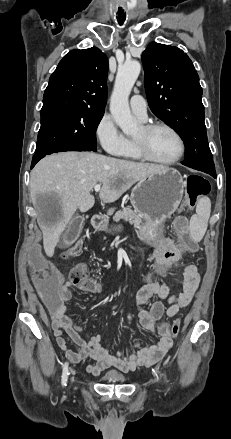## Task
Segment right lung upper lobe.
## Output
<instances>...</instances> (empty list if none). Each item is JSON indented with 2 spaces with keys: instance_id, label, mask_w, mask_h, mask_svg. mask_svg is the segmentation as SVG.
Wrapping results in <instances>:
<instances>
[{
  "instance_id": "right-lung-upper-lobe-1",
  "label": "right lung upper lobe",
  "mask_w": 231,
  "mask_h": 439,
  "mask_svg": "<svg viewBox=\"0 0 231 439\" xmlns=\"http://www.w3.org/2000/svg\"><path fill=\"white\" fill-rule=\"evenodd\" d=\"M107 72L108 59L100 49L70 51L49 79L41 117L68 110L105 111Z\"/></svg>"
}]
</instances>
